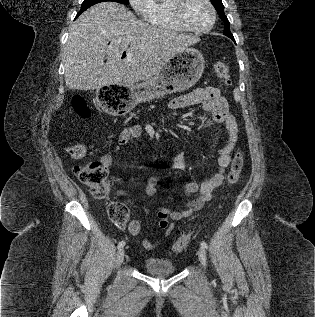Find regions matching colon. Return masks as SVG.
Returning <instances> with one entry per match:
<instances>
[{"label":"colon","instance_id":"obj_1","mask_svg":"<svg viewBox=\"0 0 315 317\" xmlns=\"http://www.w3.org/2000/svg\"><path fill=\"white\" fill-rule=\"evenodd\" d=\"M214 71L217 77L226 85L230 83L229 67L226 63L218 61L214 64ZM73 109L82 119H88L90 116L89 108L81 97H75L72 101ZM67 151L74 159H81L87 153V147L83 142H74L67 147ZM244 165V157L241 151H238L232 160L227 182L229 185H235L240 178ZM75 172L79 180L85 184L91 193L98 198H106L110 192V180L107 168L98 161H92L85 165L75 167ZM108 216L113 224L119 228L125 227L129 220L127 207L119 201H111L107 208ZM191 234L181 235L171 247L172 253H180L189 245Z\"/></svg>","mask_w":315,"mask_h":317}]
</instances>
